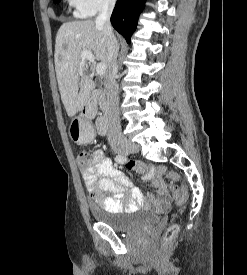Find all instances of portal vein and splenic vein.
I'll return each instance as SVG.
<instances>
[{"mask_svg": "<svg viewBox=\"0 0 247 275\" xmlns=\"http://www.w3.org/2000/svg\"><path fill=\"white\" fill-rule=\"evenodd\" d=\"M81 59H82V62L88 61L89 63H92L95 66L97 75L102 76L105 74L106 72L105 64L103 63L96 64L95 57L91 51H87V50L82 51Z\"/></svg>", "mask_w": 247, "mask_h": 275, "instance_id": "portal-vein-and-splenic-vein-1", "label": "portal vein and splenic vein"}]
</instances>
